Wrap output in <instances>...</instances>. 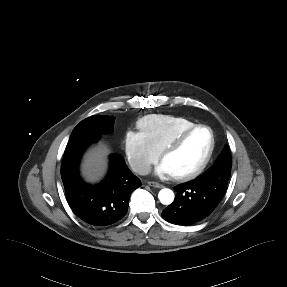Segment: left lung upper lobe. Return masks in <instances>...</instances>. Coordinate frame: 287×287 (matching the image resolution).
<instances>
[{
  "label": "left lung upper lobe",
  "instance_id": "left-lung-upper-lobe-1",
  "mask_svg": "<svg viewBox=\"0 0 287 287\" xmlns=\"http://www.w3.org/2000/svg\"><path fill=\"white\" fill-rule=\"evenodd\" d=\"M214 169H221L222 172H225L227 176L230 177L231 157H230V152H229V148L227 145L223 149L221 155L215 161L214 165L209 170H207L203 175L197 178L200 180L201 179L209 180L210 177L212 176V171Z\"/></svg>",
  "mask_w": 287,
  "mask_h": 287
}]
</instances>
